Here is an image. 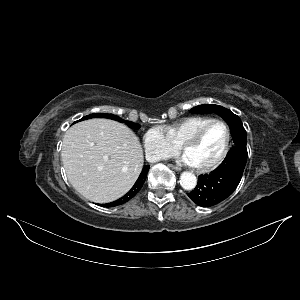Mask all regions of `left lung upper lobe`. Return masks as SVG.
Listing matches in <instances>:
<instances>
[{"label": "left lung upper lobe", "instance_id": "obj_1", "mask_svg": "<svg viewBox=\"0 0 300 300\" xmlns=\"http://www.w3.org/2000/svg\"><path fill=\"white\" fill-rule=\"evenodd\" d=\"M192 113H212L216 112L220 116H222L227 123L230 125L232 139L234 141L235 147H243L246 148V131L243 127V124L240 118L232 113L229 109H226L219 105H200L194 107L190 110Z\"/></svg>", "mask_w": 300, "mask_h": 300}]
</instances>
